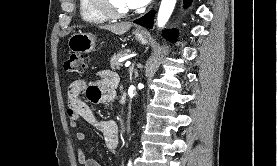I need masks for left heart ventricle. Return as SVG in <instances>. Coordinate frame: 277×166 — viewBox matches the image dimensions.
Returning a JSON list of instances; mask_svg holds the SVG:
<instances>
[{"label": "left heart ventricle", "instance_id": "b2bd125f", "mask_svg": "<svg viewBox=\"0 0 277 166\" xmlns=\"http://www.w3.org/2000/svg\"><path fill=\"white\" fill-rule=\"evenodd\" d=\"M114 9L118 11H128L131 8L127 4V0H109Z\"/></svg>", "mask_w": 277, "mask_h": 166}]
</instances>
